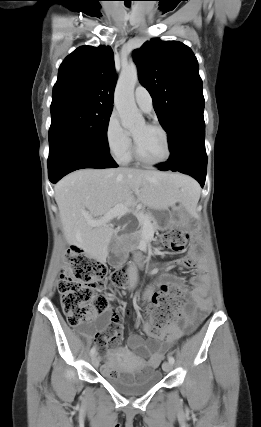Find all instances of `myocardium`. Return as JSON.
<instances>
[{
    "label": "myocardium",
    "instance_id": "1",
    "mask_svg": "<svg viewBox=\"0 0 261 427\" xmlns=\"http://www.w3.org/2000/svg\"><path fill=\"white\" fill-rule=\"evenodd\" d=\"M146 126H148L150 128L157 129L163 134L165 142H166L167 153L163 159L158 160V161H148V160L144 159L140 155V153L138 151L136 140H135L134 136L132 135V138H133L132 155H133L134 159L142 165H145V166L161 165V164L167 162L172 155V146H171L169 134H168L167 130L162 125H160L158 123H154V122L146 123Z\"/></svg>",
    "mask_w": 261,
    "mask_h": 427
}]
</instances>
